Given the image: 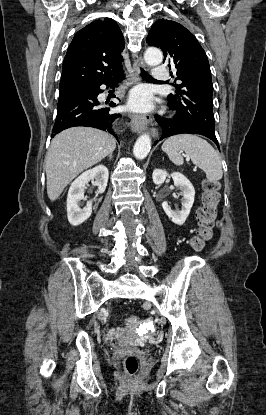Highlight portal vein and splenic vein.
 <instances>
[{"label":"portal vein and splenic vein","mask_w":266,"mask_h":415,"mask_svg":"<svg viewBox=\"0 0 266 415\" xmlns=\"http://www.w3.org/2000/svg\"><path fill=\"white\" fill-rule=\"evenodd\" d=\"M186 159L189 161V157H187ZM195 170H196V168H195Z\"/></svg>","instance_id":"obj_1"}]
</instances>
